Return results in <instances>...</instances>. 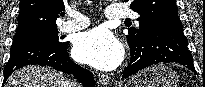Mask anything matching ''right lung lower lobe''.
Listing matches in <instances>:
<instances>
[{"label": "right lung lower lobe", "mask_w": 205, "mask_h": 87, "mask_svg": "<svg viewBox=\"0 0 205 87\" xmlns=\"http://www.w3.org/2000/svg\"><path fill=\"white\" fill-rule=\"evenodd\" d=\"M67 45L68 42L53 45L40 40L13 42L10 49V59L4 68L3 83L12 72L23 66L41 65L73 74L84 87H94L93 74L70 59L67 53Z\"/></svg>", "instance_id": "1"}]
</instances>
